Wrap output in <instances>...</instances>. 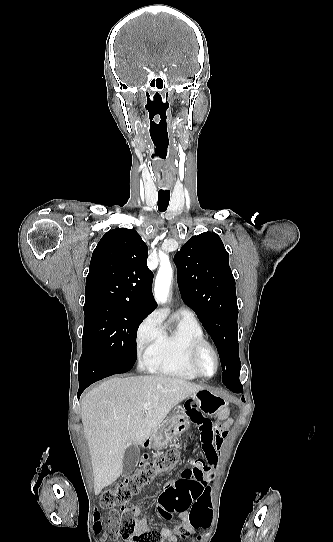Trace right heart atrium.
I'll list each match as a JSON object with an SVG mask.
<instances>
[{
    "mask_svg": "<svg viewBox=\"0 0 333 542\" xmlns=\"http://www.w3.org/2000/svg\"><path fill=\"white\" fill-rule=\"evenodd\" d=\"M161 338L159 320L155 316H149L139 326L137 332L138 348L142 349L147 345L156 343Z\"/></svg>",
    "mask_w": 333,
    "mask_h": 542,
    "instance_id": "right-heart-atrium-1",
    "label": "right heart atrium"
}]
</instances>
